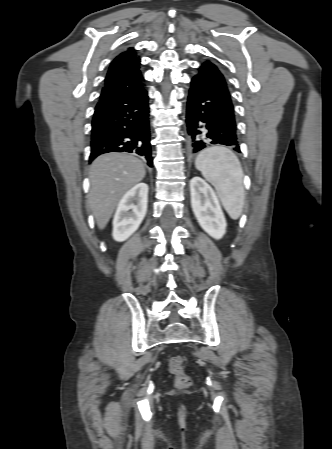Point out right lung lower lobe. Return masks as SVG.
Segmentation results:
<instances>
[{
  "label": "right lung lower lobe",
  "instance_id": "right-lung-lower-lobe-1",
  "mask_svg": "<svg viewBox=\"0 0 332 449\" xmlns=\"http://www.w3.org/2000/svg\"><path fill=\"white\" fill-rule=\"evenodd\" d=\"M108 152L138 154L152 166L148 95L99 100L92 121L90 161Z\"/></svg>",
  "mask_w": 332,
  "mask_h": 449
}]
</instances>
